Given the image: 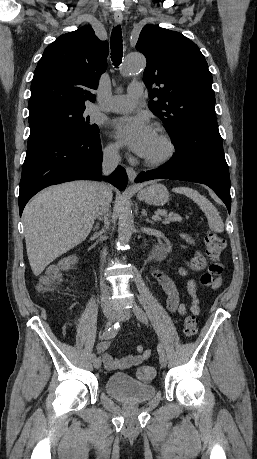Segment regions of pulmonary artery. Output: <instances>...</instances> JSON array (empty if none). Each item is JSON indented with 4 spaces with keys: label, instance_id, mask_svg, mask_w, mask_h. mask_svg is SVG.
I'll use <instances>...</instances> for the list:
<instances>
[{
    "label": "pulmonary artery",
    "instance_id": "pulmonary-artery-1",
    "mask_svg": "<svg viewBox=\"0 0 257 459\" xmlns=\"http://www.w3.org/2000/svg\"><path fill=\"white\" fill-rule=\"evenodd\" d=\"M143 94L141 82H132L128 86L127 94L110 97L106 103L98 105L97 108L104 111L123 112L135 107L138 99Z\"/></svg>",
    "mask_w": 257,
    "mask_h": 459
}]
</instances>
